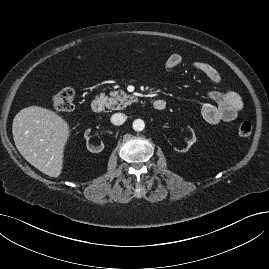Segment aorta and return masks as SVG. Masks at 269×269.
<instances>
[{"instance_id": "762f6f07", "label": "aorta", "mask_w": 269, "mask_h": 269, "mask_svg": "<svg viewBox=\"0 0 269 269\" xmlns=\"http://www.w3.org/2000/svg\"><path fill=\"white\" fill-rule=\"evenodd\" d=\"M144 128H145V123H144L143 120H141V119L134 120V122H133V129L135 131H138L139 132V131H142Z\"/></svg>"}]
</instances>
